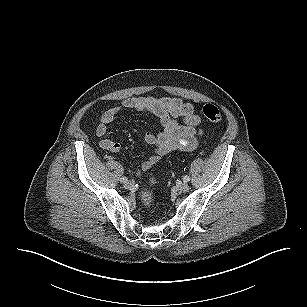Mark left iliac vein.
Instances as JSON below:
<instances>
[{"label":"left iliac vein","mask_w":307,"mask_h":307,"mask_svg":"<svg viewBox=\"0 0 307 307\" xmlns=\"http://www.w3.org/2000/svg\"><path fill=\"white\" fill-rule=\"evenodd\" d=\"M177 189L181 192H187L189 190V185L187 183L180 182L177 184Z\"/></svg>","instance_id":"4c4485c4"}]
</instances>
